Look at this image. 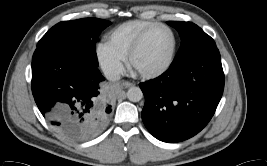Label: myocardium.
<instances>
[{
    "instance_id": "f54148a6",
    "label": "myocardium",
    "mask_w": 267,
    "mask_h": 166,
    "mask_svg": "<svg viewBox=\"0 0 267 166\" xmlns=\"http://www.w3.org/2000/svg\"><path fill=\"white\" fill-rule=\"evenodd\" d=\"M160 28H164L167 29L171 35H172V39H173V46H172V51L170 54V57L168 59V61L166 62V64L164 66H162L161 68L154 70V71H147V72H142V71H137L134 66H133V59L135 57V55L138 53V51L140 50V48L142 47L145 39L155 30L160 29ZM176 50H177V36L174 32V30L164 24V23H157L155 25H153L152 27H150L149 29H147L145 32H143L138 39L134 42V44L132 45V47L130 48L126 58H127V64L128 66L133 69L136 70V72L142 77V78H147V79H152V78H156L162 74H164L172 65L175 55H176Z\"/></svg>"
}]
</instances>
